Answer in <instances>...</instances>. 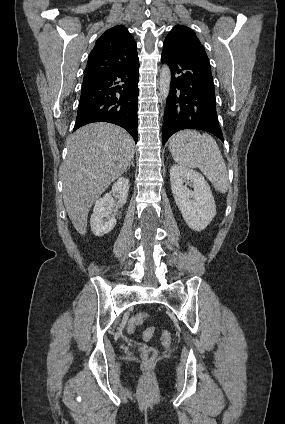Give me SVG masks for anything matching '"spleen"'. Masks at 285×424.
Returning a JSON list of instances; mask_svg holds the SVG:
<instances>
[{"label": "spleen", "instance_id": "1", "mask_svg": "<svg viewBox=\"0 0 285 424\" xmlns=\"http://www.w3.org/2000/svg\"><path fill=\"white\" fill-rule=\"evenodd\" d=\"M173 159L184 167L199 168L220 193L229 187L228 174L221 151L209 134L181 131L169 140Z\"/></svg>", "mask_w": 285, "mask_h": 424}]
</instances>
